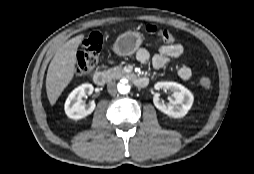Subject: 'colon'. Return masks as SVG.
<instances>
[{"label":"colon","instance_id":"obj_1","mask_svg":"<svg viewBox=\"0 0 254 174\" xmlns=\"http://www.w3.org/2000/svg\"><path fill=\"white\" fill-rule=\"evenodd\" d=\"M145 31L149 34L158 36L168 44H173L176 41V36L173 32L152 24H147L145 26ZM102 43V36L98 32H93L82 42L76 56L77 76H86L97 67ZM200 85L208 90L212 86V81L208 77H202L200 79Z\"/></svg>","mask_w":254,"mask_h":174}]
</instances>
